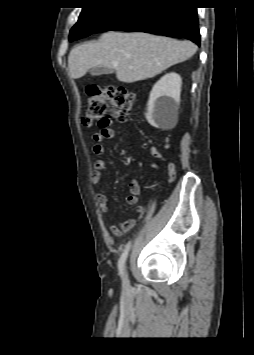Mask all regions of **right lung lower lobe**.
Returning <instances> with one entry per match:
<instances>
[{
    "label": "right lung lower lobe",
    "instance_id": "98d812e1",
    "mask_svg": "<svg viewBox=\"0 0 254 355\" xmlns=\"http://www.w3.org/2000/svg\"><path fill=\"white\" fill-rule=\"evenodd\" d=\"M196 6L191 0H131L95 31L122 30L187 38L200 45ZM78 39H73L75 41Z\"/></svg>",
    "mask_w": 254,
    "mask_h": 355
}]
</instances>
